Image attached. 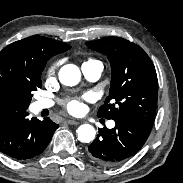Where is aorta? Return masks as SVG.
<instances>
[{
	"mask_svg": "<svg viewBox=\"0 0 183 183\" xmlns=\"http://www.w3.org/2000/svg\"><path fill=\"white\" fill-rule=\"evenodd\" d=\"M59 80L63 85L75 86L80 82V69L74 64H67L61 67L59 71ZM78 140L83 143H89L95 139L96 131L90 124H83L77 130Z\"/></svg>",
	"mask_w": 183,
	"mask_h": 183,
	"instance_id": "762f6f07",
	"label": "aorta"
}]
</instances>
